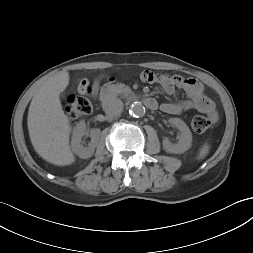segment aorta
I'll list each match as a JSON object with an SVG mask.
<instances>
[{"mask_svg":"<svg viewBox=\"0 0 253 253\" xmlns=\"http://www.w3.org/2000/svg\"><path fill=\"white\" fill-rule=\"evenodd\" d=\"M129 113L133 117H142L145 114V107L140 102H134L130 106Z\"/></svg>","mask_w":253,"mask_h":253,"instance_id":"1","label":"aorta"}]
</instances>
